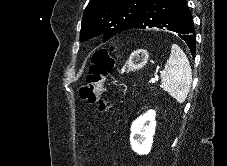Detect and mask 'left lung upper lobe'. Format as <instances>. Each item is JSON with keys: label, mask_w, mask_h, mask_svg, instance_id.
I'll return each instance as SVG.
<instances>
[{"label": "left lung upper lobe", "mask_w": 227, "mask_h": 166, "mask_svg": "<svg viewBox=\"0 0 227 166\" xmlns=\"http://www.w3.org/2000/svg\"><path fill=\"white\" fill-rule=\"evenodd\" d=\"M147 0H90L85 8L80 40L103 34V41L132 29Z\"/></svg>", "instance_id": "obj_1"}]
</instances>
